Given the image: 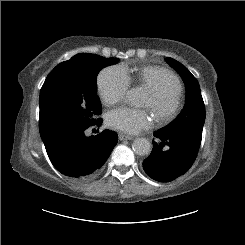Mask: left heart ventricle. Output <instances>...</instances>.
Returning a JSON list of instances; mask_svg holds the SVG:
<instances>
[{
    "label": "left heart ventricle",
    "instance_id": "1",
    "mask_svg": "<svg viewBox=\"0 0 245 245\" xmlns=\"http://www.w3.org/2000/svg\"><path fill=\"white\" fill-rule=\"evenodd\" d=\"M169 102V99L166 98L164 100V104L167 105ZM151 105H152V99H151V96L149 93L146 94V98H145V106L148 107V108H151Z\"/></svg>",
    "mask_w": 245,
    "mask_h": 245
}]
</instances>
